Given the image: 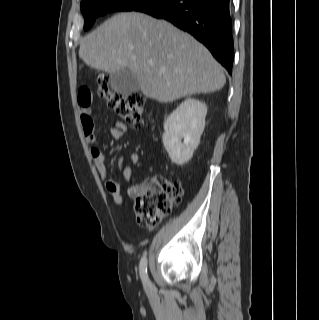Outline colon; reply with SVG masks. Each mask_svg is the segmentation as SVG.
Returning a JSON list of instances; mask_svg holds the SVG:
<instances>
[{"mask_svg": "<svg viewBox=\"0 0 319 320\" xmlns=\"http://www.w3.org/2000/svg\"><path fill=\"white\" fill-rule=\"evenodd\" d=\"M98 95L129 125L143 126L144 98L137 93L124 94L110 89L107 79L98 82ZM183 189L161 175L148 177L140 186L134 203L136 220L144 226L157 225L180 203Z\"/></svg>", "mask_w": 319, "mask_h": 320, "instance_id": "colon-1", "label": "colon"}]
</instances>
